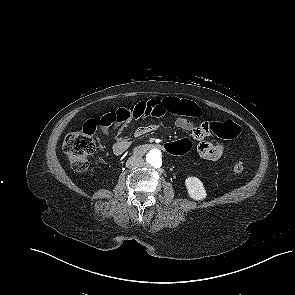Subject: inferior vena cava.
Segmentation results:
<instances>
[{"instance_id": "1", "label": "inferior vena cava", "mask_w": 295, "mask_h": 295, "mask_svg": "<svg viewBox=\"0 0 295 295\" xmlns=\"http://www.w3.org/2000/svg\"><path fill=\"white\" fill-rule=\"evenodd\" d=\"M143 164H144L143 158H141L140 156L133 155L127 160L126 167L137 168L142 166Z\"/></svg>"}]
</instances>
